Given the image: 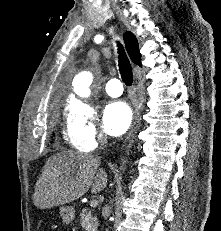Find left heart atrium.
<instances>
[{
    "label": "left heart atrium",
    "instance_id": "1",
    "mask_svg": "<svg viewBox=\"0 0 221 231\" xmlns=\"http://www.w3.org/2000/svg\"><path fill=\"white\" fill-rule=\"evenodd\" d=\"M132 113L129 106L122 101L109 103L103 112L104 130L113 136L124 133L130 125Z\"/></svg>",
    "mask_w": 221,
    "mask_h": 231
}]
</instances>
